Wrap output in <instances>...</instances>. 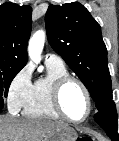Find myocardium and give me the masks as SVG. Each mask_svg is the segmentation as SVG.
<instances>
[{
	"label": "myocardium",
	"instance_id": "1",
	"mask_svg": "<svg viewBox=\"0 0 119 141\" xmlns=\"http://www.w3.org/2000/svg\"><path fill=\"white\" fill-rule=\"evenodd\" d=\"M70 83H76L82 89L87 100L86 114L84 115L82 119H79V120L68 117L62 107V102H61L62 93L64 88ZM51 100H52L54 110L59 115V117L71 123L78 124V123H82L86 121L92 112V98L88 88L80 79L71 75L63 76L54 82L51 89Z\"/></svg>",
	"mask_w": 119,
	"mask_h": 141
}]
</instances>
